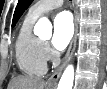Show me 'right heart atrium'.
<instances>
[{"instance_id":"right-heart-atrium-1","label":"right heart atrium","mask_w":107,"mask_h":89,"mask_svg":"<svg viewBox=\"0 0 107 89\" xmlns=\"http://www.w3.org/2000/svg\"><path fill=\"white\" fill-rule=\"evenodd\" d=\"M43 53H44L46 60L50 59L52 56L51 49L47 43L43 44Z\"/></svg>"}]
</instances>
